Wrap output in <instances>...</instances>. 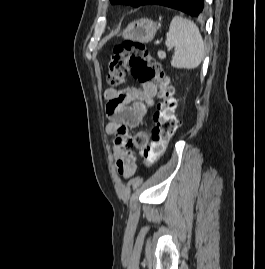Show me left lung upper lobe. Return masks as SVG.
Returning a JSON list of instances; mask_svg holds the SVG:
<instances>
[{
	"label": "left lung upper lobe",
	"instance_id": "5c2ea615",
	"mask_svg": "<svg viewBox=\"0 0 265 269\" xmlns=\"http://www.w3.org/2000/svg\"><path fill=\"white\" fill-rule=\"evenodd\" d=\"M114 4H129L134 7H139L145 0H110Z\"/></svg>",
	"mask_w": 265,
	"mask_h": 269
}]
</instances>
